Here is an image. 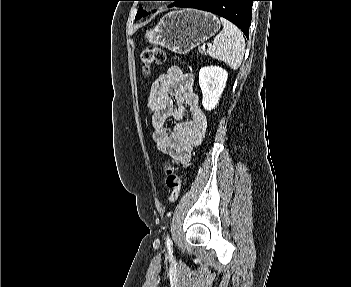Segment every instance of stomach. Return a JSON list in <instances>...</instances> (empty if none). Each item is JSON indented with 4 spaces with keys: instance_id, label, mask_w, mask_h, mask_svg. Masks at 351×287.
Wrapping results in <instances>:
<instances>
[{
    "instance_id": "stomach-1",
    "label": "stomach",
    "mask_w": 351,
    "mask_h": 287,
    "mask_svg": "<svg viewBox=\"0 0 351 287\" xmlns=\"http://www.w3.org/2000/svg\"><path fill=\"white\" fill-rule=\"evenodd\" d=\"M219 19L196 9L172 11L146 32L148 42L177 54H186L214 36L220 29Z\"/></svg>"
}]
</instances>
